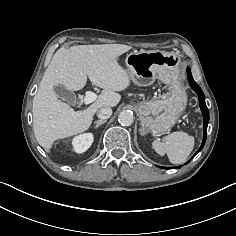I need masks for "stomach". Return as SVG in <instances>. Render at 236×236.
Masks as SVG:
<instances>
[{
  "label": "stomach",
  "mask_w": 236,
  "mask_h": 236,
  "mask_svg": "<svg viewBox=\"0 0 236 236\" xmlns=\"http://www.w3.org/2000/svg\"><path fill=\"white\" fill-rule=\"evenodd\" d=\"M125 64L131 80L139 86L151 85L156 78L169 85L166 98L137 104L144 132H166L176 123L187 103L176 56L158 50L133 51L127 55Z\"/></svg>",
  "instance_id": "obj_1"
}]
</instances>
